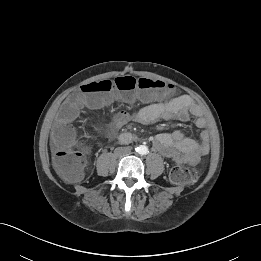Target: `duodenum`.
I'll use <instances>...</instances> for the list:
<instances>
[{"label": "duodenum", "instance_id": "duodenum-1", "mask_svg": "<svg viewBox=\"0 0 261 261\" xmlns=\"http://www.w3.org/2000/svg\"><path fill=\"white\" fill-rule=\"evenodd\" d=\"M119 140L120 142L122 143H128V142H131L134 140V137L129 134V133H122L120 136H119Z\"/></svg>", "mask_w": 261, "mask_h": 261}]
</instances>
